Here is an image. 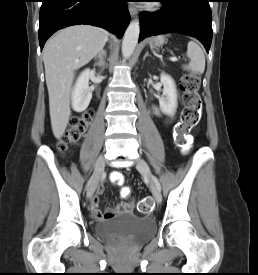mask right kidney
I'll list each match as a JSON object with an SVG mask.
<instances>
[{
    "mask_svg": "<svg viewBox=\"0 0 258 275\" xmlns=\"http://www.w3.org/2000/svg\"><path fill=\"white\" fill-rule=\"evenodd\" d=\"M92 72L89 69L84 70L76 80L72 92V107L76 112H83L89 105L92 92L89 89V78Z\"/></svg>",
    "mask_w": 258,
    "mask_h": 275,
    "instance_id": "1",
    "label": "right kidney"
}]
</instances>
